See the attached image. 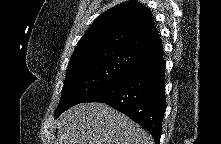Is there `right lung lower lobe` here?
<instances>
[{"label":"right lung lower lobe","instance_id":"obj_1","mask_svg":"<svg viewBox=\"0 0 221 144\" xmlns=\"http://www.w3.org/2000/svg\"><path fill=\"white\" fill-rule=\"evenodd\" d=\"M165 67L161 45L84 102L110 105L147 129L158 144L166 108Z\"/></svg>","mask_w":221,"mask_h":144}]
</instances>
